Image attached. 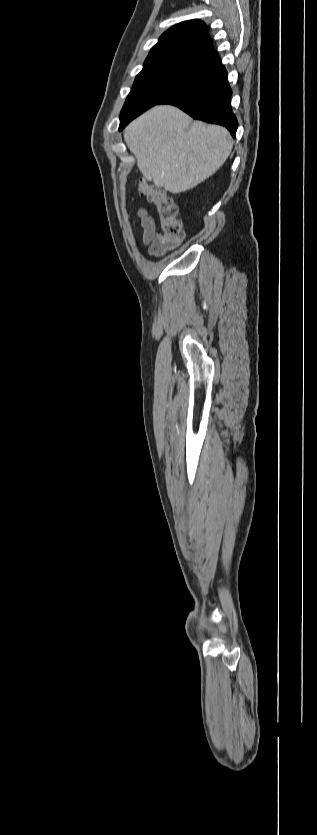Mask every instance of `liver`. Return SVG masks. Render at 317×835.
<instances>
[{"mask_svg":"<svg viewBox=\"0 0 317 835\" xmlns=\"http://www.w3.org/2000/svg\"><path fill=\"white\" fill-rule=\"evenodd\" d=\"M124 140L148 181L171 193L212 176L231 153L226 128L194 121L180 109L158 105L132 121Z\"/></svg>","mask_w":317,"mask_h":835,"instance_id":"1","label":"liver"}]
</instances>
